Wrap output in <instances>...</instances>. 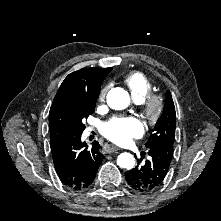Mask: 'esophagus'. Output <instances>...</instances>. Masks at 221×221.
I'll list each match as a JSON object with an SVG mask.
<instances>
[{"instance_id": "obj_1", "label": "esophagus", "mask_w": 221, "mask_h": 221, "mask_svg": "<svg viewBox=\"0 0 221 221\" xmlns=\"http://www.w3.org/2000/svg\"><path fill=\"white\" fill-rule=\"evenodd\" d=\"M104 150H105L106 152H108V153H112V152L118 151L119 148L116 147V146H113V145H108V144H106V145L104 146Z\"/></svg>"}]
</instances>
